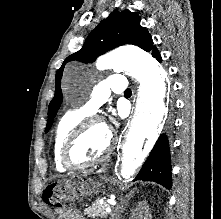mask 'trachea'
<instances>
[{
	"label": "trachea",
	"mask_w": 221,
	"mask_h": 219,
	"mask_svg": "<svg viewBox=\"0 0 221 219\" xmlns=\"http://www.w3.org/2000/svg\"><path fill=\"white\" fill-rule=\"evenodd\" d=\"M125 95H131L132 94V91L130 89H127L124 93Z\"/></svg>",
	"instance_id": "1"
}]
</instances>
